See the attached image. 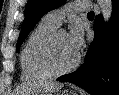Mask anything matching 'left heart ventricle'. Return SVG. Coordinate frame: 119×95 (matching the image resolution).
Here are the masks:
<instances>
[{"label":"left heart ventricle","instance_id":"1","mask_svg":"<svg viewBox=\"0 0 119 95\" xmlns=\"http://www.w3.org/2000/svg\"><path fill=\"white\" fill-rule=\"evenodd\" d=\"M77 54L69 44L66 32H60L55 40L53 47V60L57 67L64 68L71 65L76 59Z\"/></svg>","mask_w":119,"mask_h":95}]
</instances>
